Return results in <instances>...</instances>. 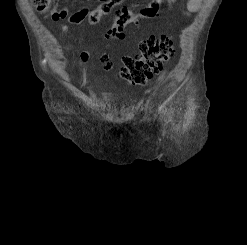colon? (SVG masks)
I'll use <instances>...</instances> for the list:
<instances>
[{
  "instance_id": "1",
  "label": "colon",
  "mask_w": 247,
  "mask_h": 245,
  "mask_svg": "<svg viewBox=\"0 0 247 245\" xmlns=\"http://www.w3.org/2000/svg\"><path fill=\"white\" fill-rule=\"evenodd\" d=\"M36 9L45 13L52 0H31ZM100 4L88 15L90 24H96L102 16L112 12L122 0H100ZM108 37L115 38L116 31L109 30ZM139 54L123 59V67L118 70V77L134 85L146 84L155 74L162 71L175 52L174 39L171 35L149 37L139 44ZM107 68L112 67L107 55L102 56Z\"/></svg>"
}]
</instances>
